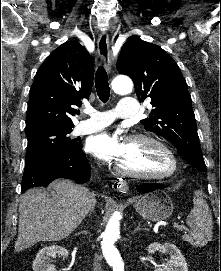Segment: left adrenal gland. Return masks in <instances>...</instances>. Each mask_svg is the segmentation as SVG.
Listing matches in <instances>:
<instances>
[{
	"label": "left adrenal gland",
	"mask_w": 221,
	"mask_h": 271,
	"mask_svg": "<svg viewBox=\"0 0 221 271\" xmlns=\"http://www.w3.org/2000/svg\"><path fill=\"white\" fill-rule=\"evenodd\" d=\"M140 225H141V221H138V225L136 229H134V231H138V229H148V227H140Z\"/></svg>",
	"instance_id": "obj_1"
}]
</instances>
